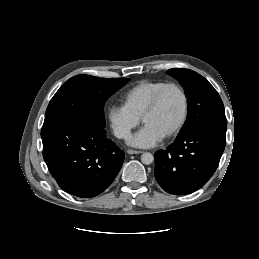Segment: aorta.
<instances>
[{"mask_svg": "<svg viewBox=\"0 0 259 259\" xmlns=\"http://www.w3.org/2000/svg\"><path fill=\"white\" fill-rule=\"evenodd\" d=\"M141 161L145 165H149L154 161V157L151 153L145 152L141 155Z\"/></svg>", "mask_w": 259, "mask_h": 259, "instance_id": "762f6f07", "label": "aorta"}]
</instances>
